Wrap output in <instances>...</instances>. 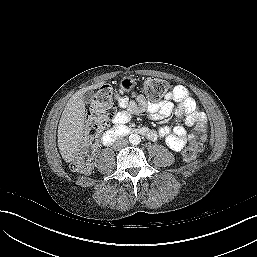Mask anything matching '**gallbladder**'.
I'll use <instances>...</instances> for the list:
<instances>
[{
	"label": "gallbladder",
	"mask_w": 257,
	"mask_h": 257,
	"mask_svg": "<svg viewBox=\"0 0 257 257\" xmlns=\"http://www.w3.org/2000/svg\"><path fill=\"white\" fill-rule=\"evenodd\" d=\"M92 96H93V92L92 91H86L84 94H83V100L85 103H89L92 99Z\"/></svg>",
	"instance_id": "obj_1"
}]
</instances>
